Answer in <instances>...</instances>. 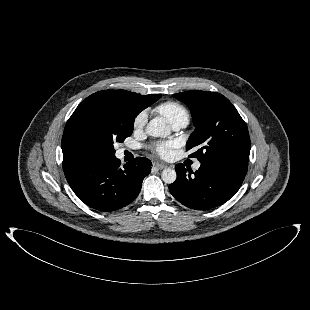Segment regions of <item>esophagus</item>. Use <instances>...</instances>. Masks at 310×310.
<instances>
[{
    "mask_svg": "<svg viewBox=\"0 0 310 310\" xmlns=\"http://www.w3.org/2000/svg\"><path fill=\"white\" fill-rule=\"evenodd\" d=\"M153 166L159 170H163L164 168H166V165L160 163H154Z\"/></svg>",
    "mask_w": 310,
    "mask_h": 310,
    "instance_id": "34e87169",
    "label": "esophagus"
}]
</instances>
